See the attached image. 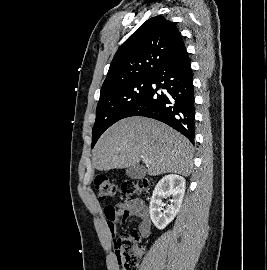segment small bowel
Here are the masks:
<instances>
[{
    "mask_svg": "<svg viewBox=\"0 0 267 270\" xmlns=\"http://www.w3.org/2000/svg\"><path fill=\"white\" fill-rule=\"evenodd\" d=\"M107 229L112 237L117 233V224L125 221L131 215L139 218V233L142 237H148L151 229V220L146 205L139 200H130L108 206L104 209Z\"/></svg>",
    "mask_w": 267,
    "mask_h": 270,
    "instance_id": "1",
    "label": "small bowel"
}]
</instances>
